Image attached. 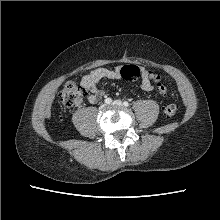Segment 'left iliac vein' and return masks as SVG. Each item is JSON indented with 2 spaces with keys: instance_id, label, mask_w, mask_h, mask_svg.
I'll return each mask as SVG.
<instances>
[{
  "instance_id": "left-iliac-vein-1",
  "label": "left iliac vein",
  "mask_w": 220,
  "mask_h": 220,
  "mask_svg": "<svg viewBox=\"0 0 220 220\" xmlns=\"http://www.w3.org/2000/svg\"><path fill=\"white\" fill-rule=\"evenodd\" d=\"M112 105L116 106V107H121L123 106L122 102L120 100H115Z\"/></svg>"
}]
</instances>
